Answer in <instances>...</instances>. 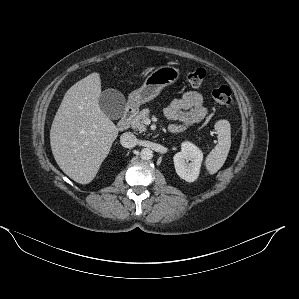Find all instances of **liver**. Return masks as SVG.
<instances>
[{
	"label": "liver",
	"mask_w": 299,
	"mask_h": 299,
	"mask_svg": "<svg viewBox=\"0 0 299 299\" xmlns=\"http://www.w3.org/2000/svg\"><path fill=\"white\" fill-rule=\"evenodd\" d=\"M101 79L89 74L68 89L50 130V145L60 169L80 184L90 183L107 157L118 128L101 110Z\"/></svg>",
	"instance_id": "liver-1"
}]
</instances>
